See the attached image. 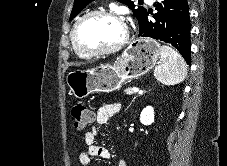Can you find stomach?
Wrapping results in <instances>:
<instances>
[{"instance_id":"stomach-1","label":"stomach","mask_w":227,"mask_h":166,"mask_svg":"<svg viewBox=\"0 0 227 166\" xmlns=\"http://www.w3.org/2000/svg\"><path fill=\"white\" fill-rule=\"evenodd\" d=\"M160 51V44L152 39L135 40L114 64L68 72L67 86L77 99H83L92 93L118 90L124 82L148 73L156 65Z\"/></svg>"}]
</instances>
